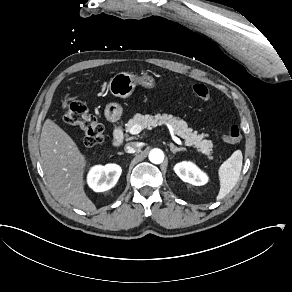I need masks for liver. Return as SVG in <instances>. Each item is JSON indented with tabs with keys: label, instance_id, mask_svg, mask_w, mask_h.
<instances>
[{
	"label": "liver",
	"instance_id": "liver-1",
	"mask_svg": "<svg viewBox=\"0 0 292 292\" xmlns=\"http://www.w3.org/2000/svg\"><path fill=\"white\" fill-rule=\"evenodd\" d=\"M39 146L42 169L53 193L78 209L95 211V205L83 189L85 157L71 137L47 119L42 127Z\"/></svg>",
	"mask_w": 292,
	"mask_h": 292
}]
</instances>
